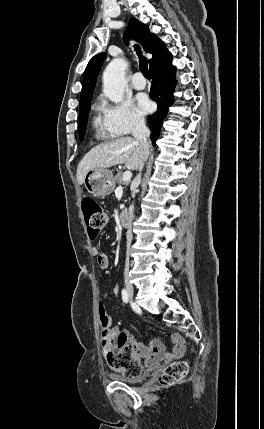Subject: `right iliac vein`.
<instances>
[{"label":"right iliac vein","mask_w":264,"mask_h":429,"mask_svg":"<svg viewBox=\"0 0 264 429\" xmlns=\"http://www.w3.org/2000/svg\"><path fill=\"white\" fill-rule=\"evenodd\" d=\"M124 280H125L126 290H127L128 294L130 295V297L132 298L134 296V288L130 282V276L127 272L124 274Z\"/></svg>","instance_id":"1"}]
</instances>
